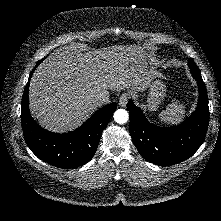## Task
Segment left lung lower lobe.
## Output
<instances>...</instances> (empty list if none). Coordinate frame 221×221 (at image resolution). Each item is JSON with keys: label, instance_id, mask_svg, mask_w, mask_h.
<instances>
[{"label": "left lung lower lobe", "instance_id": "1", "mask_svg": "<svg viewBox=\"0 0 221 221\" xmlns=\"http://www.w3.org/2000/svg\"><path fill=\"white\" fill-rule=\"evenodd\" d=\"M199 86V100L195 112L183 123L159 127L150 123L143 111L129 100V131L141 156L156 165L169 166L192 156L201 146L209 122L206 87L201 76H193Z\"/></svg>", "mask_w": 221, "mask_h": 221}]
</instances>
